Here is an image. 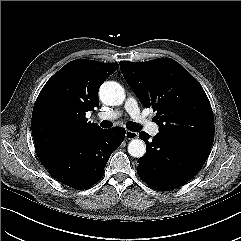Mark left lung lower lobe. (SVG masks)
<instances>
[{"label": "left lung lower lobe", "mask_w": 241, "mask_h": 241, "mask_svg": "<svg viewBox=\"0 0 241 241\" xmlns=\"http://www.w3.org/2000/svg\"><path fill=\"white\" fill-rule=\"evenodd\" d=\"M139 137L146 143V154L138 160V173L157 190L178 188L194 177L206 161L211 146L158 133L152 141L145 132Z\"/></svg>", "instance_id": "0a47b994"}]
</instances>
